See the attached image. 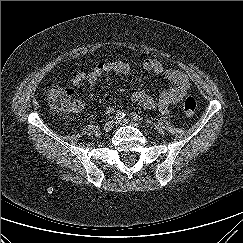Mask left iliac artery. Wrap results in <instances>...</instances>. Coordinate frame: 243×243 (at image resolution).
<instances>
[{
  "label": "left iliac artery",
  "instance_id": "obj_1",
  "mask_svg": "<svg viewBox=\"0 0 243 243\" xmlns=\"http://www.w3.org/2000/svg\"><path fill=\"white\" fill-rule=\"evenodd\" d=\"M130 116H131V118H132L134 121H141V120H142V118H141L138 114H136V113H134V112H132V113L130 114Z\"/></svg>",
  "mask_w": 243,
  "mask_h": 243
}]
</instances>
